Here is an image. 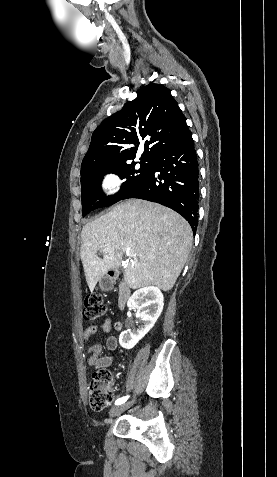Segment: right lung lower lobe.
Here are the masks:
<instances>
[{"mask_svg": "<svg viewBox=\"0 0 277 477\" xmlns=\"http://www.w3.org/2000/svg\"><path fill=\"white\" fill-rule=\"evenodd\" d=\"M150 170L123 199L141 198L181 214L195 234L198 224L199 171L191 132L153 155Z\"/></svg>", "mask_w": 277, "mask_h": 477, "instance_id": "1", "label": "right lung lower lobe"}]
</instances>
